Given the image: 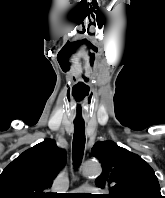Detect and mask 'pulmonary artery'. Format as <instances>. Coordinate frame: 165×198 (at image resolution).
I'll return each mask as SVG.
<instances>
[{"instance_id":"1","label":"pulmonary artery","mask_w":165,"mask_h":198,"mask_svg":"<svg viewBox=\"0 0 165 198\" xmlns=\"http://www.w3.org/2000/svg\"><path fill=\"white\" fill-rule=\"evenodd\" d=\"M95 188L92 187V186H87V185H83L79 188V191L81 192H88V191H91V190H94Z\"/></svg>"}]
</instances>
